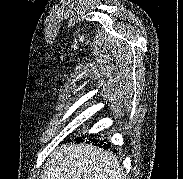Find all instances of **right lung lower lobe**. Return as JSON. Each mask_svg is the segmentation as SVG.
<instances>
[{
	"mask_svg": "<svg viewBox=\"0 0 183 179\" xmlns=\"http://www.w3.org/2000/svg\"><path fill=\"white\" fill-rule=\"evenodd\" d=\"M88 139H89V141L95 143V145H98L99 147H103V148L110 147V142H107L106 140H99V139H94V138H90V137ZM82 141H83V139H82Z\"/></svg>",
	"mask_w": 183,
	"mask_h": 179,
	"instance_id": "1",
	"label": "right lung lower lobe"
}]
</instances>
